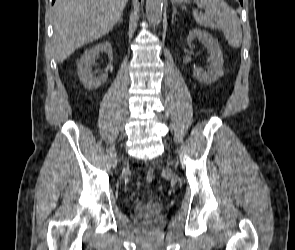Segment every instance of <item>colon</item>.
I'll return each mask as SVG.
<instances>
[{
	"label": "colon",
	"mask_w": 295,
	"mask_h": 250,
	"mask_svg": "<svg viewBox=\"0 0 295 250\" xmlns=\"http://www.w3.org/2000/svg\"><path fill=\"white\" fill-rule=\"evenodd\" d=\"M154 177H155V172L153 170L147 171V173H146V181L147 182L153 181Z\"/></svg>",
	"instance_id": "5ec220e1"
}]
</instances>
